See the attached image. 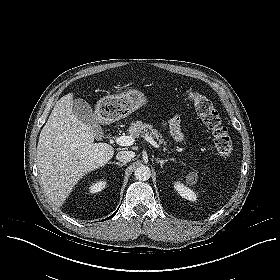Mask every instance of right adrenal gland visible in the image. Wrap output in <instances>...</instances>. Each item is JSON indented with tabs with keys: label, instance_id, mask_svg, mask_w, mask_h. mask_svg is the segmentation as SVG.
Returning a JSON list of instances; mask_svg holds the SVG:
<instances>
[{
	"label": "right adrenal gland",
	"instance_id": "obj_1",
	"mask_svg": "<svg viewBox=\"0 0 280 280\" xmlns=\"http://www.w3.org/2000/svg\"><path fill=\"white\" fill-rule=\"evenodd\" d=\"M113 164H116V165H118V166H120V167H122L123 165H124V163H119V162H112Z\"/></svg>",
	"mask_w": 280,
	"mask_h": 280
}]
</instances>
